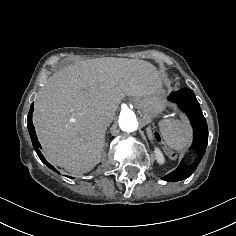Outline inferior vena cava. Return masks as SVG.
Returning a JSON list of instances; mask_svg holds the SVG:
<instances>
[{
    "label": "inferior vena cava",
    "instance_id": "602c4592",
    "mask_svg": "<svg viewBox=\"0 0 236 236\" xmlns=\"http://www.w3.org/2000/svg\"><path fill=\"white\" fill-rule=\"evenodd\" d=\"M105 122L106 123H111L112 122V117L111 116H106L105 117Z\"/></svg>",
    "mask_w": 236,
    "mask_h": 236
}]
</instances>
